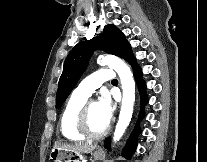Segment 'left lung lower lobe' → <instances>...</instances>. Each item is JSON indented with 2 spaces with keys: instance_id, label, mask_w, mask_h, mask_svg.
<instances>
[{
  "instance_id": "1",
  "label": "left lung lower lobe",
  "mask_w": 207,
  "mask_h": 162,
  "mask_svg": "<svg viewBox=\"0 0 207 162\" xmlns=\"http://www.w3.org/2000/svg\"><path fill=\"white\" fill-rule=\"evenodd\" d=\"M130 65L133 67L134 76L136 78L137 86H138V89H139V92H140L141 110H140L139 119H138V120H140L144 117L143 107L147 102V96H146V92H145L146 85H145V83L142 79V71L138 67L135 59H133L130 62ZM139 133H140V127L138 126V123H137L134 130H133V132H132V134H131V136H130V138L127 141V144H126L123 152H122V155L125 156L127 159H130V157L133 154V150L136 148V142H137L136 139H137V136L139 135ZM104 145H105L106 149L110 148L109 138L105 141Z\"/></svg>"
}]
</instances>
